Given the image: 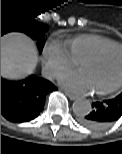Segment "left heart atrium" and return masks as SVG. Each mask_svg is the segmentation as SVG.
I'll return each mask as SVG.
<instances>
[{"instance_id": "obj_1", "label": "left heart atrium", "mask_w": 122, "mask_h": 154, "mask_svg": "<svg viewBox=\"0 0 122 154\" xmlns=\"http://www.w3.org/2000/svg\"><path fill=\"white\" fill-rule=\"evenodd\" d=\"M59 82L66 89L73 92L87 93L91 90L81 70L61 74Z\"/></svg>"}]
</instances>
